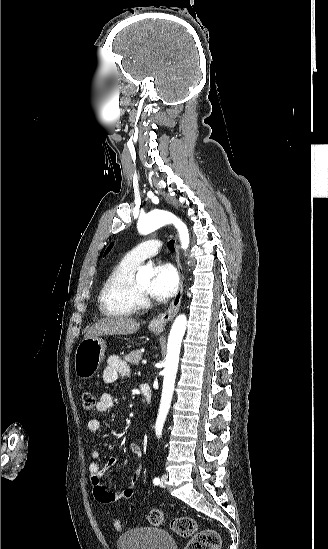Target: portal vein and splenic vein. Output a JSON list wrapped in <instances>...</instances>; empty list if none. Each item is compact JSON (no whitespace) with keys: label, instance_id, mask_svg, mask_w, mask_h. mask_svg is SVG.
Returning a JSON list of instances; mask_svg holds the SVG:
<instances>
[{"label":"portal vein and splenic vein","instance_id":"1","mask_svg":"<svg viewBox=\"0 0 328 549\" xmlns=\"http://www.w3.org/2000/svg\"><path fill=\"white\" fill-rule=\"evenodd\" d=\"M142 364H146V361H145V359H142Z\"/></svg>","mask_w":328,"mask_h":549}]
</instances>
